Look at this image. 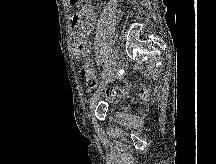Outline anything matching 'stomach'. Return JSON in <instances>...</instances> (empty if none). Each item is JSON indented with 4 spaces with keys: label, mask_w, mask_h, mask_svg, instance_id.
Here are the masks:
<instances>
[{
    "label": "stomach",
    "mask_w": 216,
    "mask_h": 164,
    "mask_svg": "<svg viewBox=\"0 0 216 164\" xmlns=\"http://www.w3.org/2000/svg\"><path fill=\"white\" fill-rule=\"evenodd\" d=\"M83 2V0H68V4L71 6V7H78L80 6V4Z\"/></svg>",
    "instance_id": "stomach-1"
}]
</instances>
